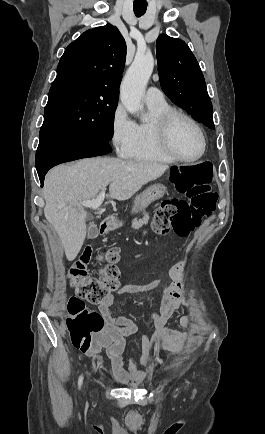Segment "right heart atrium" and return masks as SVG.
<instances>
[{"label":"right heart atrium","mask_w":265,"mask_h":434,"mask_svg":"<svg viewBox=\"0 0 265 434\" xmlns=\"http://www.w3.org/2000/svg\"><path fill=\"white\" fill-rule=\"evenodd\" d=\"M118 115L110 116L111 127L110 138L113 141V147L116 148L119 159H127L129 154L133 153L135 138L133 132L136 130V122L131 119L129 108L127 106H118L116 108Z\"/></svg>","instance_id":"obj_1"}]
</instances>
